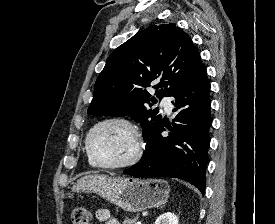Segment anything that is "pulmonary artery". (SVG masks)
<instances>
[{"label": "pulmonary artery", "instance_id": "1", "mask_svg": "<svg viewBox=\"0 0 275 224\" xmlns=\"http://www.w3.org/2000/svg\"><path fill=\"white\" fill-rule=\"evenodd\" d=\"M161 106L167 111V113H170L172 110L171 98L164 96L161 99Z\"/></svg>", "mask_w": 275, "mask_h": 224}]
</instances>
